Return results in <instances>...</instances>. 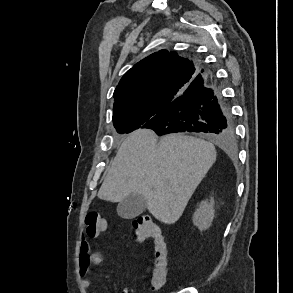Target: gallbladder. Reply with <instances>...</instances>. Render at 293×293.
I'll return each mask as SVG.
<instances>
[{"instance_id":"1","label":"gallbladder","mask_w":293,"mask_h":293,"mask_svg":"<svg viewBox=\"0 0 293 293\" xmlns=\"http://www.w3.org/2000/svg\"><path fill=\"white\" fill-rule=\"evenodd\" d=\"M147 207L146 199L140 194H131L117 206V213L123 219H133L139 216Z\"/></svg>"}]
</instances>
